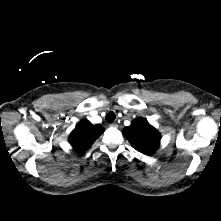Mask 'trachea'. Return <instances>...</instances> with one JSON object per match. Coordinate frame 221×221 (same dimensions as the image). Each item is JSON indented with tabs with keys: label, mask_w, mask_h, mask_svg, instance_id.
<instances>
[{
	"label": "trachea",
	"mask_w": 221,
	"mask_h": 221,
	"mask_svg": "<svg viewBox=\"0 0 221 221\" xmlns=\"http://www.w3.org/2000/svg\"><path fill=\"white\" fill-rule=\"evenodd\" d=\"M115 114L113 112H109L107 115H106V121L108 123H112L114 120H115Z\"/></svg>",
	"instance_id": "trachea-1"
}]
</instances>
